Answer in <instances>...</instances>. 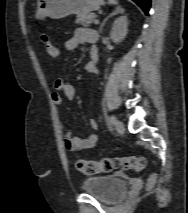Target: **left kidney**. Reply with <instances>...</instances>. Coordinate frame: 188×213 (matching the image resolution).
<instances>
[{
    "label": "left kidney",
    "instance_id": "1",
    "mask_svg": "<svg viewBox=\"0 0 188 213\" xmlns=\"http://www.w3.org/2000/svg\"><path fill=\"white\" fill-rule=\"evenodd\" d=\"M128 19L127 16H121L117 18L113 25L112 29L110 31V38L115 42V43H120L122 40L127 35L128 32Z\"/></svg>",
    "mask_w": 188,
    "mask_h": 213
}]
</instances>
